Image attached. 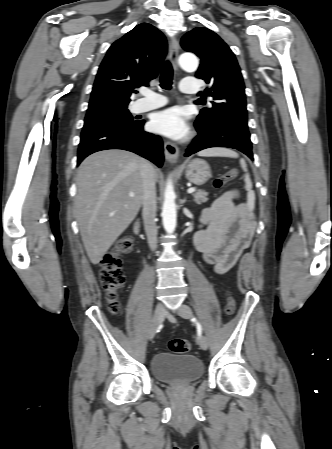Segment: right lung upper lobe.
<instances>
[{"mask_svg": "<svg viewBox=\"0 0 332 449\" xmlns=\"http://www.w3.org/2000/svg\"><path fill=\"white\" fill-rule=\"evenodd\" d=\"M167 54L165 36L154 26L141 23L114 42L103 59L87 110L126 108L135 88L148 86Z\"/></svg>", "mask_w": 332, "mask_h": 449, "instance_id": "right-lung-upper-lobe-1", "label": "right lung upper lobe"}]
</instances>
